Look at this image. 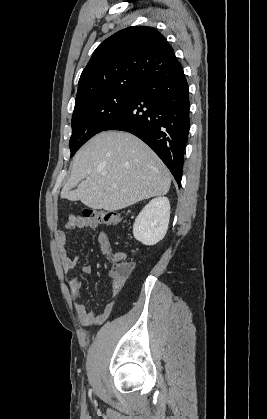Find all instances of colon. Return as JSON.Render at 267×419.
<instances>
[{
	"label": "colon",
	"instance_id": "1",
	"mask_svg": "<svg viewBox=\"0 0 267 419\" xmlns=\"http://www.w3.org/2000/svg\"><path fill=\"white\" fill-rule=\"evenodd\" d=\"M84 216L92 219L98 224H104L108 226L117 225L122 221V215L118 212L110 210H86ZM114 266L111 272L117 276H127L131 269V263L125 260L123 253H116L113 256Z\"/></svg>",
	"mask_w": 267,
	"mask_h": 419
}]
</instances>
